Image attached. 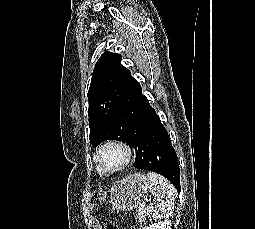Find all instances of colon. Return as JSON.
<instances>
[{
  "mask_svg": "<svg viewBox=\"0 0 255 229\" xmlns=\"http://www.w3.org/2000/svg\"><path fill=\"white\" fill-rule=\"evenodd\" d=\"M107 229H118V228L115 227L114 225H109V226L107 227Z\"/></svg>",
  "mask_w": 255,
  "mask_h": 229,
  "instance_id": "obj_1",
  "label": "colon"
}]
</instances>
